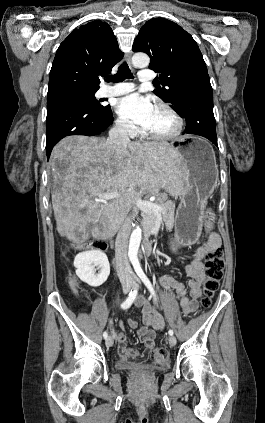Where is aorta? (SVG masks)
I'll return each mask as SVG.
<instances>
[{"label": "aorta", "mask_w": 265, "mask_h": 423, "mask_svg": "<svg viewBox=\"0 0 265 423\" xmlns=\"http://www.w3.org/2000/svg\"><path fill=\"white\" fill-rule=\"evenodd\" d=\"M150 58L144 53H136L132 57V63L135 67L144 68L149 65ZM142 239V230L140 227H136L130 236L128 257L132 264L138 263V251L140 242Z\"/></svg>", "instance_id": "1"}]
</instances>
